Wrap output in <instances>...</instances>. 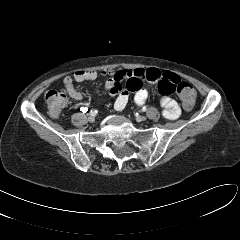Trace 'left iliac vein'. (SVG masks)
Returning <instances> with one entry per match:
<instances>
[{"label": "left iliac vein", "mask_w": 240, "mask_h": 240, "mask_svg": "<svg viewBox=\"0 0 240 240\" xmlns=\"http://www.w3.org/2000/svg\"><path fill=\"white\" fill-rule=\"evenodd\" d=\"M136 120H137L138 122L145 121V120H146V117H145V116H137V117H136Z\"/></svg>", "instance_id": "1"}]
</instances>
